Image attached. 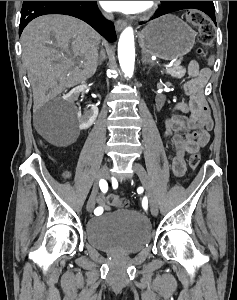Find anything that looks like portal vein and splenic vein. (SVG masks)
Segmentation results:
<instances>
[{
	"instance_id": "18ae733b",
	"label": "portal vein and splenic vein",
	"mask_w": 237,
	"mask_h": 300,
	"mask_svg": "<svg viewBox=\"0 0 237 300\" xmlns=\"http://www.w3.org/2000/svg\"><path fill=\"white\" fill-rule=\"evenodd\" d=\"M183 62L181 60H177L173 63V67H177L178 65H181Z\"/></svg>"
}]
</instances>
